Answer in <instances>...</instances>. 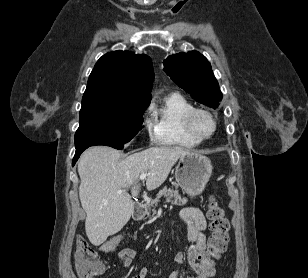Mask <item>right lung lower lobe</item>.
<instances>
[{
    "label": "right lung lower lobe",
    "instance_id": "98d812e1",
    "mask_svg": "<svg viewBox=\"0 0 308 278\" xmlns=\"http://www.w3.org/2000/svg\"><path fill=\"white\" fill-rule=\"evenodd\" d=\"M88 147H81V148H76V153L75 156L73 158V162L72 165H74L76 163V161L78 160L79 156L81 155V153L87 149Z\"/></svg>",
    "mask_w": 308,
    "mask_h": 278
}]
</instances>
